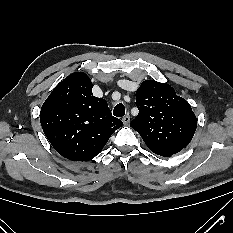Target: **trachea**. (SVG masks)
<instances>
[{
    "label": "trachea",
    "mask_w": 233,
    "mask_h": 233,
    "mask_svg": "<svg viewBox=\"0 0 233 233\" xmlns=\"http://www.w3.org/2000/svg\"><path fill=\"white\" fill-rule=\"evenodd\" d=\"M113 114L116 117H123L125 115V107L122 103L117 104L114 107Z\"/></svg>",
    "instance_id": "3493384b"
}]
</instances>
